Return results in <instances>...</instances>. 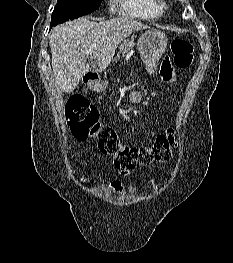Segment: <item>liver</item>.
Masks as SVG:
<instances>
[{"instance_id":"liver-1","label":"liver","mask_w":233,"mask_h":263,"mask_svg":"<svg viewBox=\"0 0 233 263\" xmlns=\"http://www.w3.org/2000/svg\"><path fill=\"white\" fill-rule=\"evenodd\" d=\"M129 17L99 23L81 18L58 25L50 35L55 83L72 92L89 69L102 72L110 64L118 45L135 31L148 29ZM94 46L91 53L89 48ZM90 55V63L87 59Z\"/></svg>"}]
</instances>
